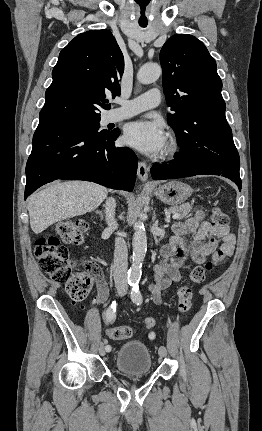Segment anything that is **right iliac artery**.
I'll use <instances>...</instances> for the list:
<instances>
[{
  "label": "right iliac artery",
  "mask_w": 262,
  "mask_h": 431,
  "mask_svg": "<svg viewBox=\"0 0 262 431\" xmlns=\"http://www.w3.org/2000/svg\"><path fill=\"white\" fill-rule=\"evenodd\" d=\"M115 318H116V302L113 301L112 304L105 312V320L107 323H112L114 322ZM105 348L107 351L111 350V347L109 345H107Z\"/></svg>",
  "instance_id": "right-iliac-artery-1"
}]
</instances>
